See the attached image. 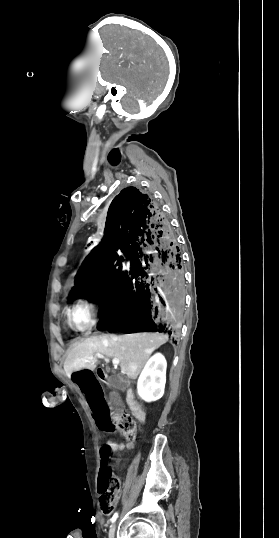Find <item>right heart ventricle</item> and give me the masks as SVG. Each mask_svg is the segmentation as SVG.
<instances>
[{
  "mask_svg": "<svg viewBox=\"0 0 279 538\" xmlns=\"http://www.w3.org/2000/svg\"><path fill=\"white\" fill-rule=\"evenodd\" d=\"M54 228L59 235H64L68 241L75 240L76 232L72 229L66 230L62 217L57 216L54 221ZM67 322L71 327L83 328L85 326L83 308L79 304H73L67 312Z\"/></svg>",
  "mask_w": 279,
  "mask_h": 538,
  "instance_id": "1",
  "label": "right heart ventricle"
}]
</instances>
